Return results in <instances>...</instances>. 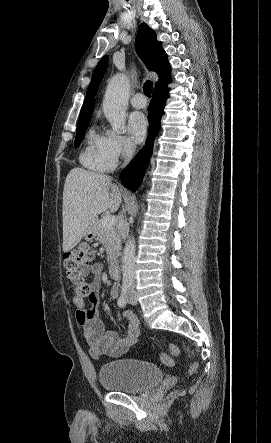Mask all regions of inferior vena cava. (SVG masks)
Returning a JSON list of instances; mask_svg holds the SVG:
<instances>
[{
  "label": "inferior vena cava",
  "mask_w": 271,
  "mask_h": 443,
  "mask_svg": "<svg viewBox=\"0 0 271 443\" xmlns=\"http://www.w3.org/2000/svg\"><path fill=\"white\" fill-rule=\"evenodd\" d=\"M135 144H132V142H124L123 146H122V156H124L125 160V164H123V168L124 166H126L127 162H129V160H131L134 152H135ZM122 237H127L128 235V231H129V227H128V223H125V220H123V223L119 229ZM134 290H131V288H126L124 296H133Z\"/></svg>",
  "instance_id": "inferior-vena-cava-1"
}]
</instances>
